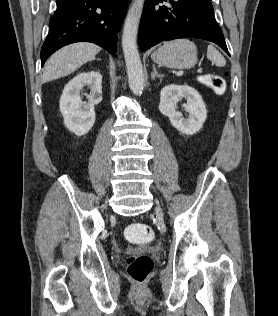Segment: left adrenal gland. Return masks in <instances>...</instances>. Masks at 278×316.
I'll list each match as a JSON object with an SVG mask.
<instances>
[{
	"label": "left adrenal gland",
	"mask_w": 278,
	"mask_h": 316,
	"mask_svg": "<svg viewBox=\"0 0 278 316\" xmlns=\"http://www.w3.org/2000/svg\"><path fill=\"white\" fill-rule=\"evenodd\" d=\"M163 77H164V75L159 74V73L157 72V69H156L155 65L153 64V72H152V74H151L152 80H154L155 78H160V79H162Z\"/></svg>",
	"instance_id": "left-adrenal-gland-1"
}]
</instances>
